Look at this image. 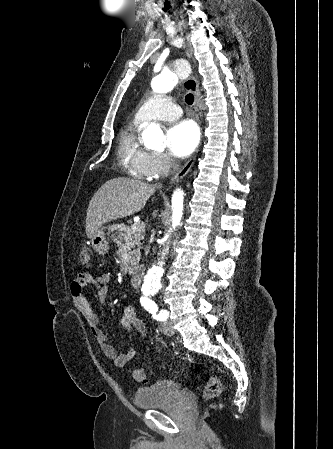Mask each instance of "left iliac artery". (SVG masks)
Wrapping results in <instances>:
<instances>
[{
  "label": "left iliac artery",
  "mask_w": 333,
  "mask_h": 449,
  "mask_svg": "<svg viewBox=\"0 0 333 449\" xmlns=\"http://www.w3.org/2000/svg\"><path fill=\"white\" fill-rule=\"evenodd\" d=\"M145 309L152 314V317L159 321H164L168 318V312L166 310H161L159 313L158 306L152 300L146 299V302L143 304Z\"/></svg>",
  "instance_id": "1"
}]
</instances>
